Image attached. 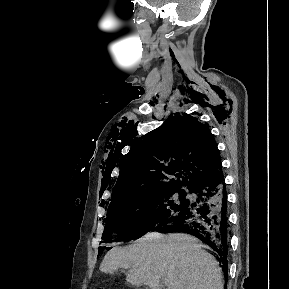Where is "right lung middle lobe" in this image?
Here are the masks:
<instances>
[{"label":"right lung middle lobe","instance_id":"right-lung-middle-lobe-1","mask_svg":"<svg viewBox=\"0 0 289 289\" xmlns=\"http://www.w3.org/2000/svg\"><path fill=\"white\" fill-rule=\"evenodd\" d=\"M189 199L182 189H162L110 205L102 239L111 242L137 239L177 215Z\"/></svg>","mask_w":289,"mask_h":289}]
</instances>
